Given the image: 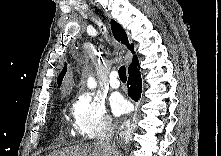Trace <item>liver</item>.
Wrapping results in <instances>:
<instances>
[{
    "label": "liver",
    "instance_id": "6515ba94",
    "mask_svg": "<svg viewBox=\"0 0 221 156\" xmlns=\"http://www.w3.org/2000/svg\"><path fill=\"white\" fill-rule=\"evenodd\" d=\"M115 154L116 151L109 152L95 144H82L53 151L49 156H115Z\"/></svg>",
    "mask_w": 221,
    "mask_h": 156
}]
</instances>
